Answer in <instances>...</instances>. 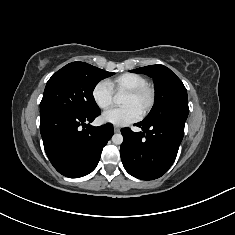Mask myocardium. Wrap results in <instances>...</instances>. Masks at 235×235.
Returning a JSON list of instances; mask_svg holds the SVG:
<instances>
[{
  "mask_svg": "<svg viewBox=\"0 0 235 235\" xmlns=\"http://www.w3.org/2000/svg\"><path fill=\"white\" fill-rule=\"evenodd\" d=\"M125 94H128L133 97H139L142 95L146 96L147 101L140 113V117H145L152 110L155 104V89L149 84H144L135 88L128 89L125 91Z\"/></svg>",
  "mask_w": 235,
  "mask_h": 235,
  "instance_id": "obj_1",
  "label": "myocardium"
}]
</instances>
